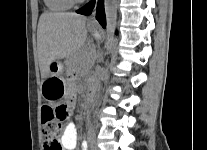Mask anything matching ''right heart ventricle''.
<instances>
[{"label": "right heart ventricle", "instance_id": "obj_1", "mask_svg": "<svg viewBox=\"0 0 207 150\" xmlns=\"http://www.w3.org/2000/svg\"><path fill=\"white\" fill-rule=\"evenodd\" d=\"M46 7L53 12H64L72 8L70 0H44Z\"/></svg>", "mask_w": 207, "mask_h": 150}]
</instances>
